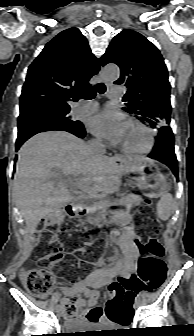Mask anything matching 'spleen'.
Masks as SVG:
<instances>
[{
  "label": "spleen",
  "instance_id": "obj_1",
  "mask_svg": "<svg viewBox=\"0 0 194 336\" xmlns=\"http://www.w3.org/2000/svg\"><path fill=\"white\" fill-rule=\"evenodd\" d=\"M174 199L171 194L166 193L162 195L158 205H157V210H158V215L161 220H168L170 217V214L174 208Z\"/></svg>",
  "mask_w": 194,
  "mask_h": 336
}]
</instances>
